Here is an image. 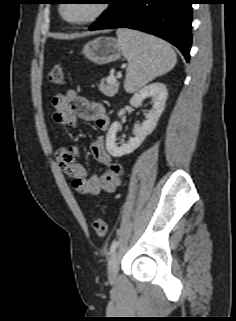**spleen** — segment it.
Wrapping results in <instances>:
<instances>
[{
  "label": "spleen",
  "instance_id": "obj_1",
  "mask_svg": "<svg viewBox=\"0 0 236 321\" xmlns=\"http://www.w3.org/2000/svg\"><path fill=\"white\" fill-rule=\"evenodd\" d=\"M118 44L128 61L125 91L134 93L177 63L171 46L157 37L130 29L117 30Z\"/></svg>",
  "mask_w": 236,
  "mask_h": 321
}]
</instances>
